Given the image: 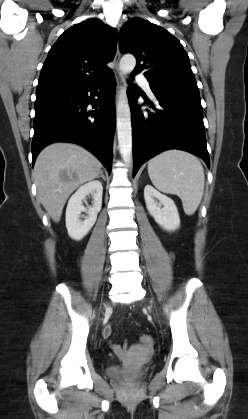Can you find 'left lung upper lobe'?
<instances>
[{
	"label": "left lung upper lobe",
	"instance_id": "obj_1",
	"mask_svg": "<svg viewBox=\"0 0 248 419\" xmlns=\"http://www.w3.org/2000/svg\"><path fill=\"white\" fill-rule=\"evenodd\" d=\"M120 50L132 53L137 64L132 74L144 71L154 92L198 94L187 53L166 29L132 18L120 30Z\"/></svg>",
	"mask_w": 248,
	"mask_h": 419
}]
</instances>
